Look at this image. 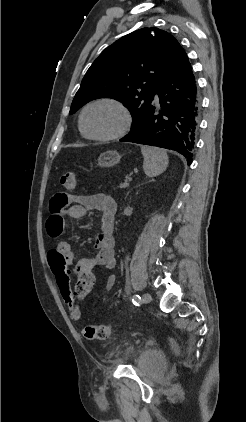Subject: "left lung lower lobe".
Returning <instances> with one entry per match:
<instances>
[{
	"label": "left lung lower lobe",
	"instance_id": "0a47b994",
	"mask_svg": "<svg viewBox=\"0 0 246 422\" xmlns=\"http://www.w3.org/2000/svg\"><path fill=\"white\" fill-rule=\"evenodd\" d=\"M200 95L188 56L182 50L154 91L137 126L120 141L171 149L192 163L198 132Z\"/></svg>",
	"mask_w": 246,
	"mask_h": 422
}]
</instances>
